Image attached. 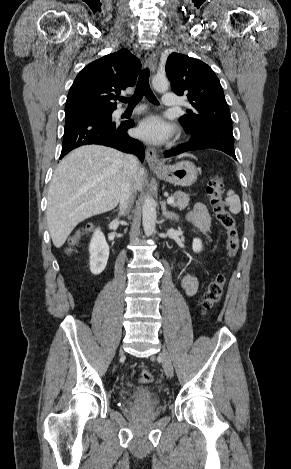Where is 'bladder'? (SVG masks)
<instances>
[{
  "instance_id": "bladder-1",
  "label": "bladder",
  "mask_w": 291,
  "mask_h": 469,
  "mask_svg": "<svg viewBox=\"0 0 291 469\" xmlns=\"http://www.w3.org/2000/svg\"><path fill=\"white\" fill-rule=\"evenodd\" d=\"M133 404L154 407L160 404L161 397L157 391L149 387H138L129 396Z\"/></svg>"
}]
</instances>
